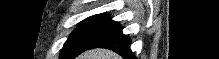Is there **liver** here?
Instances as JSON below:
<instances>
[{
	"instance_id": "6515ba94",
	"label": "liver",
	"mask_w": 219,
	"mask_h": 59,
	"mask_svg": "<svg viewBox=\"0 0 219 59\" xmlns=\"http://www.w3.org/2000/svg\"><path fill=\"white\" fill-rule=\"evenodd\" d=\"M78 59H122L118 54L106 49H93L81 54Z\"/></svg>"
}]
</instances>
